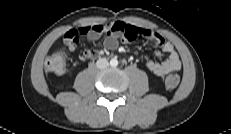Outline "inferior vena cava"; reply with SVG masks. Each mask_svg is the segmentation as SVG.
<instances>
[{
    "instance_id": "obj_1",
    "label": "inferior vena cava",
    "mask_w": 231,
    "mask_h": 134,
    "mask_svg": "<svg viewBox=\"0 0 231 134\" xmlns=\"http://www.w3.org/2000/svg\"><path fill=\"white\" fill-rule=\"evenodd\" d=\"M96 65L99 69H104V68L108 67L109 63H108V60L106 58H100L97 60Z\"/></svg>"
}]
</instances>
